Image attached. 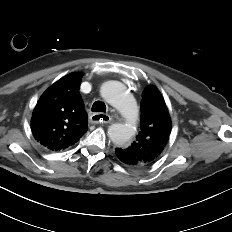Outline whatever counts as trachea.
Instances as JSON below:
<instances>
[{"mask_svg": "<svg viewBox=\"0 0 232 232\" xmlns=\"http://www.w3.org/2000/svg\"><path fill=\"white\" fill-rule=\"evenodd\" d=\"M91 110L93 112H106V105L103 102H101V101H96L92 105V109Z\"/></svg>", "mask_w": 232, "mask_h": 232, "instance_id": "1", "label": "trachea"}]
</instances>
